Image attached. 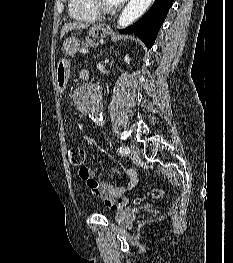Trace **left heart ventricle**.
<instances>
[{
    "label": "left heart ventricle",
    "mask_w": 233,
    "mask_h": 263,
    "mask_svg": "<svg viewBox=\"0 0 233 263\" xmlns=\"http://www.w3.org/2000/svg\"><path fill=\"white\" fill-rule=\"evenodd\" d=\"M102 4L107 6V7H113L117 5L115 0H101Z\"/></svg>",
    "instance_id": "1"
}]
</instances>
